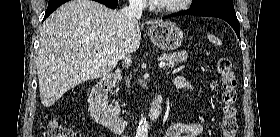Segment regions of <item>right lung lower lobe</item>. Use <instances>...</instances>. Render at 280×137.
Returning <instances> with one entry per match:
<instances>
[{"label": "right lung lower lobe", "instance_id": "obj_1", "mask_svg": "<svg viewBox=\"0 0 280 137\" xmlns=\"http://www.w3.org/2000/svg\"><path fill=\"white\" fill-rule=\"evenodd\" d=\"M69 0H49L48 7L44 16L45 20L53 11H55L60 5L67 2ZM104 4L109 8H116L118 6V0H95Z\"/></svg>", "mask_w": 280, "mask_h": 137}]
</instances>
